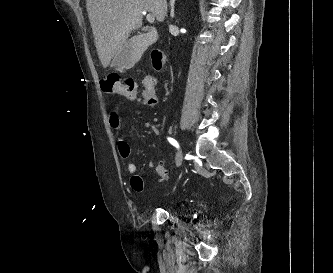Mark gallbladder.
<instances>
[{
    "label": "gallbladder",
    "mask_w": 333,
    "mask_h": 273,
    "mask_svg": "<svg viewBox=\"0 0 333 273\" xmlns=\"http://www.w3.org/2000/svg\"><path fill=\"white\" fill-rule=\"evenodd\" d=\"M149 45L145 35L128 40L115 57L113 67L119 71L133 68Z\"/></svg>",
    "instance_id": "obj_1"
}]
</instances>
